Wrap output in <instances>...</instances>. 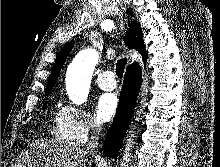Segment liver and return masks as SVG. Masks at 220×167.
<instances>
[{
  "mask_svg": "<svg viewBox=\"0 0 220 167\" xmlns=\"http://www.w3.org/2000/svg\"><path fill=\"white\" fill-rule=\"evenodd\" d=\"M89 153L53 140H35L16 160L14 167H86ZM104 167V162H100ZM91 167V164H89Z\"/></svg>",
  "mask_w": 220,
  "mask_h": 167,
  "instance_id": "obj_1",
  "label": "liver"
}]
</instances>
